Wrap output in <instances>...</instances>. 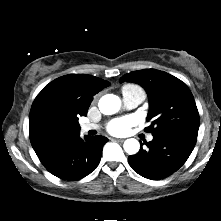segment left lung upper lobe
Returning <instances> with one entry per match:
<instances>
[{
  "label": "left lung upper lobe",
  "instance_id": "left-lung-upper-lobe-1",
  "mask_svg": "<svg viewBox=\"0 0 221 221\" xmlns=\"http://www.w3.org/2000/svg\"><path fill=\"white\" fill-rule=\"evenodd\" d=\"M141 85L149 98L146 131L152 135L179 134L197 140L199 113L188 86L178 78L156 69H144L125 74L121 82Z\"/></svg>",
  "mask_w": 221,
  "mask_h": 221
}]
</instances>
